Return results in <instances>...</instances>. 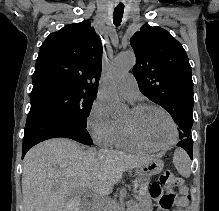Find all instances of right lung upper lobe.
Returning a JSON list of instances; mask_svg holds the SVG:
<instances>
[{
	"mask_svg": "<svg viewBox=\"0 0 219 211\" xmlns=\"http://www.w3.org/2000/svg\"><path fill=\"white\" fill-rule=\"evenodd\" d=\"M102 68V44L88 20L51 33L40 47L33 91L59 84L96 95Z\"/></svg>",
	"mask_w": 219,
	"mask_h": 211,
	"instance_id": "right-lung-upper-lobe-1",
	"label": "right lung upper lobe"
}]
</instances>
